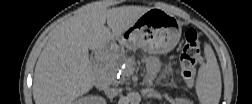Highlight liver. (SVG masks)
I'll list each match as a JSON object with an SVG mask.
<instances>
[{
	"label": "liver",
	"instance_id": "1",
	"mask_svg": "<svg viewBox=\"0 0 252 104\" xmlns=\"http://www.w3.org/2000/svg\"><path fill=\"white\" fill-rule=\"evenodd\" d=\"M150 9L142 6L107 9L95 2L63 22L53 32L36 63L35 103L69 104L90 91L96 83V73L89 61V50H100L111 41L119 40Z\"/></svg>",
	"mask_w": 252,
	"mask_h": 104
}]
</instances>
